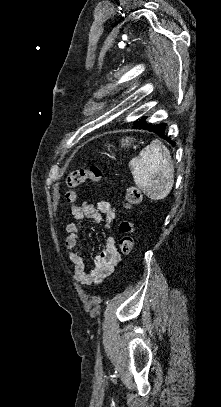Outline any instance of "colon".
I'll use <instances>...</instances> for the list:
<instances>
[{"label":"colon","instance_id":"obj_1","mask_svg":"<svg viewBox=\"0 0 221 407\" xmlns=\"http://www.w3.org/2000/svg\"><path fill=\"white\" fill-rule=\"evenodd\" d=\"M103 171L100 166L96 164L90 165L88 168H80L74 170L67 177V187L69 188L66 192V198L69 201H73L77 198L75 193V188L83 184L85 181L90 180L94 182H100L103 179ZM141 201L140 189L136 186H128L125 191V208H130L133 205L138 204ZM120 231L121 237L119 239V251L120 255L127 258L131 255L134 245L133 237V223L124 218L120 221ZM113 260L119 262L120 258H114Z\"/></svg>","mask_w":221,"mask_h":407}]
</instances>
